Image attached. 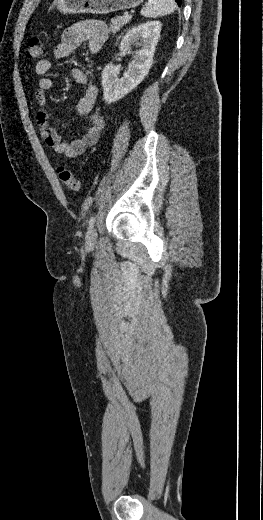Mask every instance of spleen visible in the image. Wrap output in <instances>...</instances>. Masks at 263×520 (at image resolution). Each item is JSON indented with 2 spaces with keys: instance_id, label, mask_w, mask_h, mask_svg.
Returning <instances> with one entry per match:
<instances>
[{
  "instance_id": "spleen-1",
  "label": "spleen",
  "mask_w": 263,
  "mask_h": 520,
  "mask_svg": "<svg viewBox=\"0 0 263 520\" xmlns=\"http://www.w3.org/2000/svg\"><path fill=\"white\" fill-rule=\"evenodd\" d=\"M175 9L176 3L174 0H148V3L141 10V15L156 18L171 14Z\"/></svg>"
}]
</instances>
